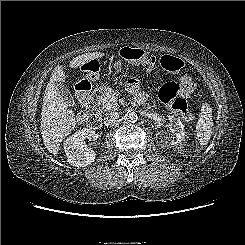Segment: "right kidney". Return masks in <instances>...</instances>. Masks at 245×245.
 Segmentation results:
<instances>
[{"mask_svg":"<svg viewBox=\"0 0 245 245\" xmlns=\"http://www.w3.org/2000/svg\"><path fill=\"white\" fill-rule=\"evenodd\" d=\"M95 131L82 129L72 134L64 141V149L68 162L75 167H86L94 162L96 153L87 148L84 139L92 138Z\"/></svg>","mask_w":245,"mask_h":245,"instance_id":"1","label":"right kidney"}]
</instances>
